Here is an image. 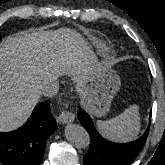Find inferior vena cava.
<instances>
[{"instance_id": "inferior-vena-cava-1", "label": "inferior vena cava", "mask_w": 165, "mask_h": 165, "mask_svg": "<svg viewBox=\"0 0 165 165\" xmlns=\"http://www.w3.org/2000/svg\"><path fill=\"white\" fill-rule=\"evenodd\" d=\"M59 90V84L57 82H45L41 86L40 93L46 97H53Z\"/></svg>"}]
</instances>
